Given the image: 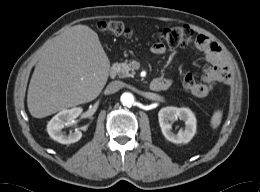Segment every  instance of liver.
I'll return each mask as SVG.
<instances>
[{"label":"liver","instance_id":"6515ba94","mask_svg":"<svg viewBox=\"0 0 260 192\" xmlns=\"http://www.w3.org/2000/svg\"><path fill=\"white\" fill-rule=\"evenodd\" d=\"M110 61L98 35L76 25L44 52L30 80L27 106L35 118L90 102L104 88Z\"/></svg>","mask_w":260,"mask_h":192}]
</instances>
